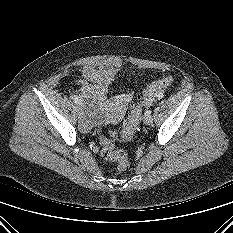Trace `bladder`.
<instances>
[{
	"instance_id": "1",
	"label": "bladder",
	"mask_w": 233,
	"mask_h": 233,
	"mask_svg": "<svg viewBox=\"0 0 233 233\" xmlns=\"http://www.w3.org/2000/svg\"><path fill=\"white\" fill-rule=\"evenodd\" d=\"M80 103L84 112V120L89 128L98 127L108 119L103 99L97 94L80 95Z\"/></svg>"
}]
</instances>
